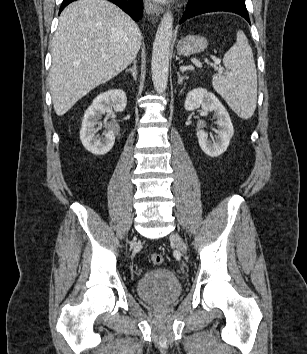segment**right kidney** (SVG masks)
Returning <instances> with one entry per match:
<instances>
[{"mask_svg": "<svg viewBox=\"0 0 307 354\" xmlns=\"http://www.w3.org/2000/svg\"><path fill=\"white\" fill-rule=\"evenodd\" d=\"M127 97L123 90L112 89L98 95L92 104L85 111L82 127L80 130V140L86 150L97 156H102L108 153L115 142L113 131L108 130L100 137L96 132L102 127L99 119L106 112L112 110L121 112L125 109ZM99 125V128H95Z\"/></svg>", "mask_w": 307, "mask_h": 354, "instance_id": "obj_1", "label": "right kidney"}]
</instances>
